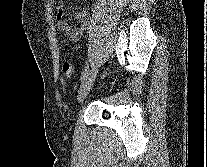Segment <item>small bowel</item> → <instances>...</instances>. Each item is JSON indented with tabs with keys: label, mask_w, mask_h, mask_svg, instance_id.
Listing matches in <instances>:
<instances>
[{
	"label": "small bowel",
	"mask_w": 207,
	"mask_h": 167,
	"mask_svg": "<svg viewBox=\"0 0 207 167\" xmlns=\"http://www.w3.org/2000/svg\"><path fill=\"white\" fill-rule=\"evenodd\" d=\"M57 9L58 28L69 41L77 42L83 35L89 22V13L87 9L70 13L67 11L63 1L59 2ZM70 17L77 21L75 26L70 25Z\"/></svg>",
	"instance_id": "c3829d8e"
}]
</instances>
